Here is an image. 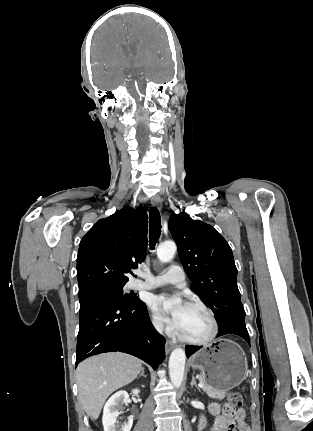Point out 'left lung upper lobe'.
<instances>
[{
	"instance_id": "5c2ea615",
	"label": "left lung upper lobe",
	"mask_w": 313,
	"mask_h": 431,
	"mask_svg": "<svg viewBox=\"0 0 313 431\" xmlns=\"http://www.w3.org/2000/svg\"><path fill=\"white\" fill-rule=\"evenodd\" d=\"M169 230L192 288L214 312L218 326L244 319L237 286V268L227 241L211 225L172 214Z\"/></svg>"
}]
</instances>
